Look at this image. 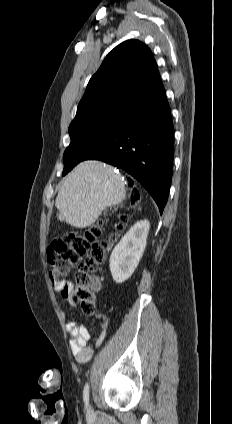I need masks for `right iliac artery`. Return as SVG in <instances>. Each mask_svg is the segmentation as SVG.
<instances>
[{
	"instance_id": "1",
	"label": "right iliac artery",
	"mask_w": 232,
	"mask_h": 424,
	"mask_svg": "<svg viewBox=\"0 0 232 424\" xmlns=\"http://www.w3.org/2000/svg\"><path fill=\"white\" fill-rule=\"evenodd\" d=\"M83 396H84L85 406L88 407L89 405V384L88 383H86L84 386Z\"/></svg>"
}]
</instances>
